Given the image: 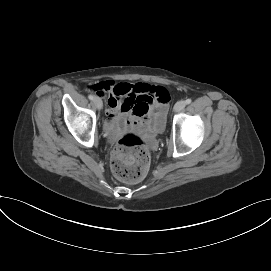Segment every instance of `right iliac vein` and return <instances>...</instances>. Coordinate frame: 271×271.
I'll return each instance as SVG.
<instances>
[{
	"instance_id": "63e3f726",
	"label": "right iliac vein",
	"mask_w": 271,
	"mask_h": 271,
	"mask_svg": "<svg viewBox=\"0 0 271 271\" xmlns=\"http://www.w3.org/2000/svg\"><path fill=\"white\" fill-rule=\"evenodd\" d=\"M93 102H94V105L96 106L97 109H99V110L102 109L103 103L99 97H96Z\"/></svg>"
}]
</instances>
